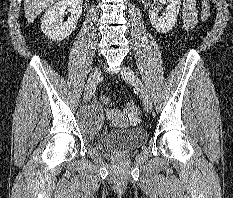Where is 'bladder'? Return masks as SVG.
<instances>
[{
    "instance_id": "bladder-1",
    "label": "bladder",
    "mask_w": 233,
    "mask_h": 198,
    "mask_svg": "<svg viewBox=\"0 0 233 198\" xmlns=\"http://www.w3.org/2000/svg\"><path fill=\"white\" fill-rule=\"evenodd\" d=\"M104 110L99 105H92L81 115V125L93 140L101 147L114 154H127L146 143L147 131L142 127L128 129L103 128Z\"/></svg>"
}]
</instances>
